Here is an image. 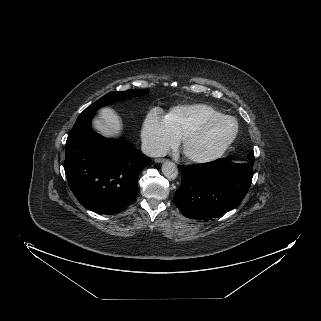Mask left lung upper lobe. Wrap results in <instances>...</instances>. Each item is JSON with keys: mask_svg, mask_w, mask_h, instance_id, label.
<instances>
[{"mask_svg": "<svg viewBox=\"0 0 321 321\" xmlns=\"http://www.w3.org/2000/svg\"><path fill=\"white\" fill-rule=\"evenodd\" d=\"M249 155L254 156V152H253V151H251V152L249 153ZM249 155H248V156H249Z\"/></svg>", "mask_w": 321, "mask_h": 321, "instance_id": "obj_1", "label": "left lung upper lobe"}]
</instances>
